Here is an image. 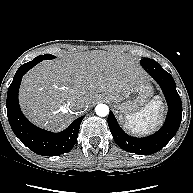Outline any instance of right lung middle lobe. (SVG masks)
I'll list each match as a JSON object with an SVG mask.
<instances>
[{"instance_id":"dd1d6c3e","label":"right lung middle lobe","mask_w":193,"mask_h":193,"mask_svg":"<svg viewBox=\"0 0 193 193\" xmlns=\"http://www.w3.org/2000/svg\"><path fill=\"white\" fill-rule=\"evenodd\" d=\"M53 58H54L53 55L45 54V55H40V56L36 57L34 60L42 61L44 59H53Z\"/></svg>"}]
</instances>
